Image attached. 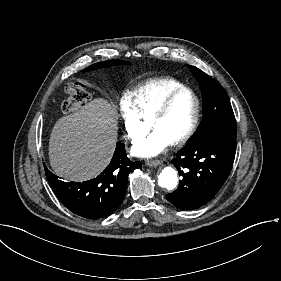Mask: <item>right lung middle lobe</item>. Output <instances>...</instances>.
I'll list each match as a JSON object with an SVG mask.
<instances>
[{"mask_svg":"<svg viewBox=\"0 0 281 281\" xmlns=\"http://www.w3.org/2000/svg\"><path fill=\"white\" fill-rule=\"evenodd\" d=\"M117 64H129V62H125V61H122V60H116V59L115 60H108V61L93 64V65L87 67L86 69H84L83 71L85 72V71L100 69L102 67H109V66L117 65Z\"/></svg>","mask_w":281,"mask_h":281,"instance_id":"1","label":"right lung middle lobe"}]
</instances>
